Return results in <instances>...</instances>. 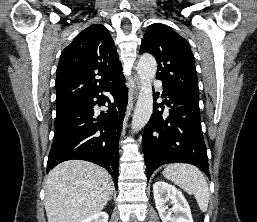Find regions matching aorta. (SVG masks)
I'll list each match as a JSON object with an SVG mask.
<instances>
[{"label": "aorta", "instance_id": "1", "mask_svg": "<svg viewBox=\"0 0 257 222\" xmlns=\"http://www.w3.org/2000/svg\"><path fill=\"white\" fill-rule=\"evenodd\" d=\"M141 88L132 118V130H141L149 121L153 112L152 80L156 75L157 62L150 54H143L136 67Z\"/></svg>", "mask_w": 257, "mask_h": 222}]
</instances>
